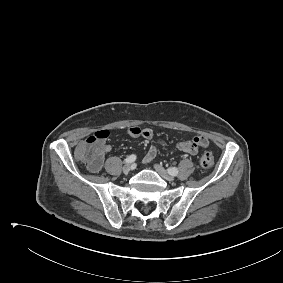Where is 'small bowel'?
I'll use <instances>...</instances> for the list:
<instances>
[{"instance_id":"c3829d8e","label":"small bowel","mask_w":283,"mask_h":283,"mask_svg":"<svg viewBox=\"0 0 283 283\" xmlns=\"http://www.w3.org/2000/svg\"><path fill=\"white\" fill-rule=\"evenodd\" d=\"M126 132L131 137L142 136L147 139H150L153 137V131L150 128H139L136 126H132V127L127 128ZM208 144H209V141L206 137L195 136L191 139L183 140L179 142L176 145V148L188 154L194 155L198 152L199 148H205L208 146ZM110 150H111V147L109 145L102 146L103 154L107 153ZM156 154H157V149L154 146L150 147L144 157V163H150L155 158Z\"/></svg>"}]
</instances>
